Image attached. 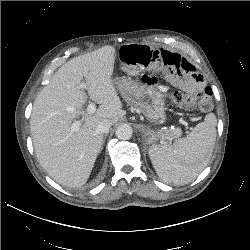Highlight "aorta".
<instances>
[{
    "mask_svg": "<svg viewBox=\"0 0 250 250\" xmlns=\"http://www.w3.org/2000/svg\"><path fill=\"white\" fill-rule=\"evenodd\" d=\"M115 134L120 140H128L132 137L133 130L129 124L123 123L116 128Z\"/></svg>",
    "mask_w": 250,
    "mask_h": 250,
    "instance_id": "1",
    "label": "aorta"
}]
</instances>
